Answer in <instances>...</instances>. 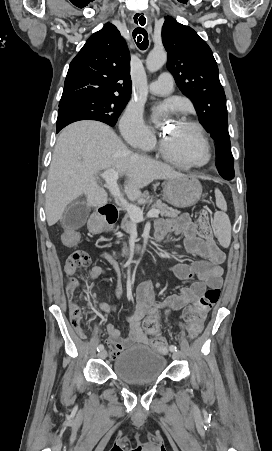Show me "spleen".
I'll use <instances>...</instances> for the list:
<instances>
[{"label":"spleen","mask_w":272,"mask_h":451,"mask_svg":"<svg viewBox=\"0 0 272 451\" xmlns=\"http://www.w3.org/2000/svg\"><path fill=\"white\" fill-rule=\"evenodd\" d=\"M215 198L217 208L222 210V212H215L214 214L213 227L215 229V235L220 245L229 247L231 241V224L227 214H225L227 212L225 198L218 188L215 190Z\"/></svg>","instance_id":"obj_1"}]
</instances>
